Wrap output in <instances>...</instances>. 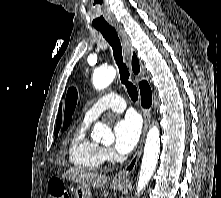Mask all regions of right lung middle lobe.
I'll list each match as a JSON object with an SVG mask.
<instances>
[{
  "label": "right lung middle lobe",
  "instance_id": "right-lung-middle-lobe-1",
  "mask_svg": "<svg viewBox=\"0 0 221 198\" xmlns=\"http://www.w3.org/2000/svg\"><path fill=\"white\" fill-rule=\"evenodd\" d=\"M57 135H58V132H55V137H57Z\"/></svg>",
  "mask_w": 221,
  "mask_h": 198
}]
</instances>
